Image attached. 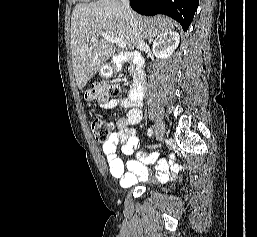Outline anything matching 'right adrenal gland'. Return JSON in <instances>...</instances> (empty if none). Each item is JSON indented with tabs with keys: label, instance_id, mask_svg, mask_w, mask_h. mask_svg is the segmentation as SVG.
I'll list each match as a JSON object with an SVG mask.
<instances>
[{
	"label": "right adrenal gland",
	"instance_id": "obj_1",
	"mask_svg": "<svg viewBox=\"0 0 257 237\" xmlns=\"http://www.w3.org/2000/svg\"><path fill=\"white\" fill-rule=\"evenodd\" d=\"M152 42V38H149L148 39V43L150 44Z\"/></svg>",
	"mask_w": 257,
	"mask_h": 237
}]
</instances>
